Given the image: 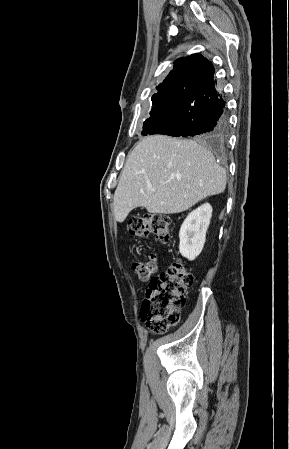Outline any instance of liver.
<instances>
[{"mask_svg": "<svg viewBox=\"0 0 289 449\" xmlns=\"http://www.w3.org/2000/svg\"><path fill=\"white\" fill-rule=\"evenodd\" d=\"M225 187V169L196 141L148 136L127 157L113 198L115 220L123 222L137 207L180 213Z\"/></svg>", "mask_w": 289, "mask_h": 449, "instance_id": "obj_1", "label": "liver"}]
</instances>
